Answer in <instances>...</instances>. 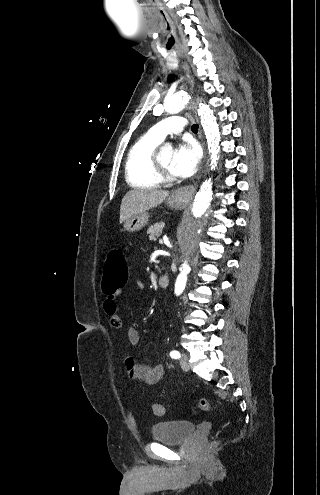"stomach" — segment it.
Segmentation results:
<instances>
[{
    "label": "stomach",
    "instance_id": "1",
    "mask_svg": "<svg viewBox=\"0 0 320 495\" xmlns=\"http://www.w3.org/2000/svg\"><path fill=\"white\" fill-rule=\"evenodd\" d=\"M167 205L172 209H183L186 207L187 202L176 194H172L167 199ZM148 221L149 213L144 211L127 218L124 222V229L127 232H137L144 228L148 224Z\"/></svg>",
    "mask_w": 320,
    "mask_h": 495
}]
</instances>
